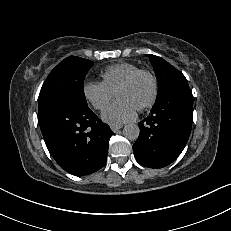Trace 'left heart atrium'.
<instances>
[{
    "mask_svg": "<svg viewBox=\"0 0 231 231\" xmlns=\"http://www.w3.org/2000/svg\"><path fill=\"white\" fill-rule=\"evenodd\" d=\"M136 110L128 101L117 99L104 111L102 118L111 125H120L134 119Z\"/></svg>",
    "mask_w": 231,
    "mask_h": 231,
    "instance_id": "obj_1",
    "label": "left heart atrium"
}]
</instances>
